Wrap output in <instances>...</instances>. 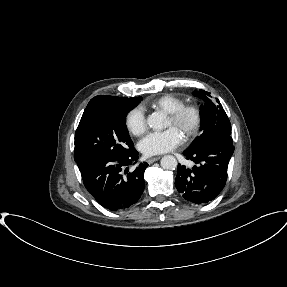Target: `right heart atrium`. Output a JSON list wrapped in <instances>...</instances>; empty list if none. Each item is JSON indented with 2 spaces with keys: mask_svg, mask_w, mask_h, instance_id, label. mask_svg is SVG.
I'll return each mask as SVG.
<instances>
[{
  "mask_svg": "<svg viewBox=\"0 0 287 287\" xmlns=\"http://www.w3.org/2000/svg\"><path fill=\"white\" fill-rule=\"evenodd\" d=\"M128 132L134 136H141L147 130V118L141 107L131 109L125 117Z\"/></svg>",
  "mask_w": 287,
  "mask_h": 287,
  "instance_id": "right-heart-atrium-1",
  "label": "right heart atrium"
}]
</instances>
